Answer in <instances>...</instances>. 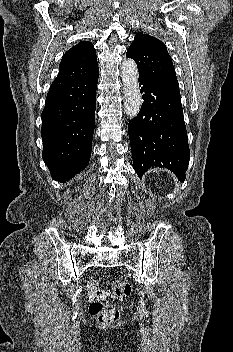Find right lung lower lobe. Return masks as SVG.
<instances>
[{
  "label": "right lung lower lobe",
  "instance_id": "1",
  "mask_svg": "<svg viewBox=\"0 0 233 352\" xmlns=\"http://www.w3.org/2000/svg\"><path fill=\"white\" fill-rule=\"evenodd\" d=\"M98 69L50 87L42 112L43 160L51 177L69 181L89 164L95 125Z\"/></svg>",
  "mask_w": 233,
  "mask_h": 352
}]
</instances>
